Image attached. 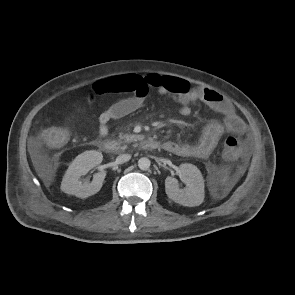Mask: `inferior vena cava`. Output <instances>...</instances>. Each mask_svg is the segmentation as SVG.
Here are the masks:
<instances>
[{"mask_svg": "<svg viewBox=\"0 0 295 295\" xmlns=\"http://www.w3.org/2000/svg\"><path fill=\"white\" fill-rule=\"evenodd\" d=\"M131 159L130 154H121L116 158V163L117 164H123Z\"/></svg>", "mask_w": 295, "mask_h": 295, "instance_id": "inferior-vena-cava-1", "label": "inferior vena cava"}]
</instances>
